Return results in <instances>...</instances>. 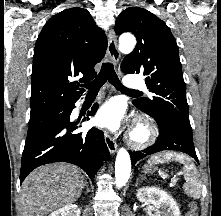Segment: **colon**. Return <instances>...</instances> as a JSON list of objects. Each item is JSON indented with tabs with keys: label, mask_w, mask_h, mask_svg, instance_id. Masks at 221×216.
Returning a JSON list of instances; mask_svg holds the SVG:
<instances>
[{
	"label": "colon",
	"mask_w": 221,
	"mask_h": 216,
	"mask_svg": "<svg viewBox=\"0 0 221 216\" xmlns=\"http://www.w3.org/2000/svg\"><path fill=\"white\" fill-rule=\"evenodd\" d=\"M187 216H196L194 205L191 206V210L188 212Z\"/></svg>",
	"instance_id": "1"
}]
</instances>
